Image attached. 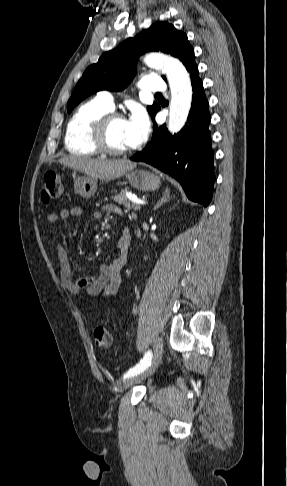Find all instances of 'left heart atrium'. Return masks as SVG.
<instances>
[{
  "instance_id": "1",
  "label": "left heart atrium",
  "mask_w": 287,
  "mask_h": 486,
  "mask_svg": "<svg viewBox=\"0 0 287 486\" xmlns=\"http://www.w3.org/2000/svg\"><path fill=\"white\" fill-rule=\"evenodd\" d=\"M128 142L130 146L140 144L147 136L149 123L146 116L141 112L134 113L126 120Z\"/></svg>"
}]
</instances>
